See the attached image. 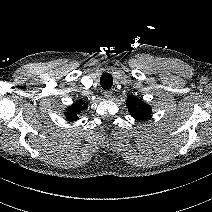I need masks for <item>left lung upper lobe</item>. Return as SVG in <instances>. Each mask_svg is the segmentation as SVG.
<instances>
[{"mask_svg":"<svg viewBox=\"0 0 212 212\" xmlns=\"http://www.w3.org/2000/svg\"><path fill=\"white\" fill-rule=\"evenodd\" d=\"M126 105L131 115L137 120L145 121L151 116L150 106L136 97H129Z\"/></svg>","mask_w":212,"mask_h":212,"instance_id":"5c2ea615","label":"left lung upper lobe"}]
</instances>
